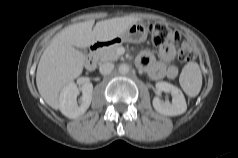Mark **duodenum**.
Masks as SVG:
<instances>
[{"mask_svg":"<svg viewBox=\"0 0 238 158\" xmlns=\"http://www.w3.org/2000/svg\"><path fill=\"white\" fill-rule=\"evenodd\" d=\"M110 42L97 41L90 46L89 54L86 60V67L88 70H93L97 64V54L99 50L105 46L110 45Z\"/></svg>","mask_w":238,"mask_h":158,"instance_id":"obj_1","label":"duodenum"}]
</instances>
